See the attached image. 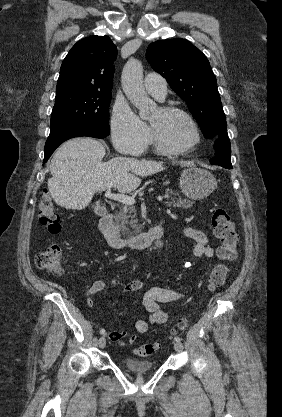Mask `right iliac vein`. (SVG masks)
I'll list each match as a JSON object with an SVG mask.
<instances>
[{"label": "right iliac vein", "instance_id": "obj_1", "mask_svg": "<svg viewBox=\"0 0 282 417\" xmlns=\"http://www.w3.org/2000/svg\"><path fill=\"white\" fill-rule=\"evenodd\" d=\"M106 346V339L104 336L100 337L99 339V347L104 348Z\"/></svg>", "mask_w": 282, "mask_h": 417}]
</instances>
